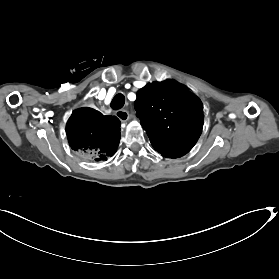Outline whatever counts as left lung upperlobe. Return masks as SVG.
<instances>
[{
  "instance_id": "left-lung-upper-lobe-1",
  "label": "left lung upper lobe",
  "mask_w": 279,
  "mask_h": 279,
  "mask_svg": "<svg viewBox=\"0 0 279 279\" xmlns=\"http://www.w3.org/2000/svg\"><path fill=\"white\" fill-rule=\"evenodd\" d=\"M135 109L152 146L164 157L185 155L200 137L202 105L174 81L153 82L138 90Z\"/></svg>"
}]
</instances>
